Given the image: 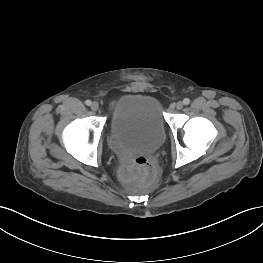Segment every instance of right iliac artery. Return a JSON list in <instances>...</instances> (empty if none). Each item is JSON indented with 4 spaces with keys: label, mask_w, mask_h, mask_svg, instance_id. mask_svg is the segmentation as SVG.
<instances>
[{
    "label": "right iliac artery",
    "mask_w": 263,
    "mask_h": 263,
    "mask_svg": "<svg viewBox=\"0 0 263 263\" xmlns=\"http://www.w3.org/2000/svg\"><path fill=\"white\" fill-rule=\"evenodd\" d=\"M85 104H86L87 106H90V105H91V101H90V100H86V101H85Z\"/></svg>",
    "instance_id": "1"
}]
</instances>
